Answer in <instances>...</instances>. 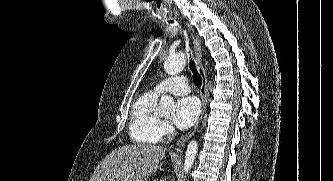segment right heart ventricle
<instances>
[{
  "instance_id": "e07e8e85",
  "label": "right heart ventricle",
  "mask_w": 333,
  "mask_h": 181,
  "mask_svg": "<svg viewBox=\"0 0 333 181\" xmlns=\"http://www.w3.org/2000/svg\"><path fill=\"white\" fill-rule=\"evenodd\" d=\"M158 94L147 92L134 102L131 110L129 134L134 142L155 144L162 136L159 132L161 119L156 111Z\"/></svg>"
}]
</instances>
